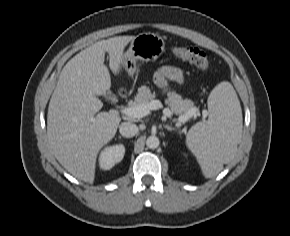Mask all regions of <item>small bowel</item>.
I'll return each mask as SVG.
<instances>
[{
  "mask_svg": "<svg viewBox=\"0 0 290 236\" xmlns=\"http://www.w3.org/2000/svg\"><path fill=\"white\" fill-rule=\"evenodd\" d=\"M155 81L158 86L167 90V82L174 81L179 85L184 83V75L180 68L174 66H163L155 74Z\"/></svg>",
  "mask_w": 290,
  "mask_h": 236,
  "instance_id": "1",
  "label": "small bowel"
}]
</instances>
